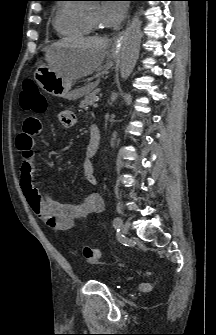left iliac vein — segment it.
Listing matches in <instances>:
<instances>
[{"label": "left iliac vein", "mask_w": 216, "mask_h": 335, "mask_svg": "<svg viewBox=\"0 0 216 335\" xmlns=\"http://www.w3.org/2000/svg\"><path fill=\"white\" fill-rule=\"evenodd\" d=\"M129 228H130V221L127 220L126 222L122 224V227H121L123 235H126L128 233Z\"/></svg>", "instance_id": "left-iliac-vein-1"}]
</instances>
